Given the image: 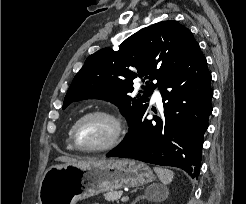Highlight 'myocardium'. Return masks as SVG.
I'll return each instance as SVG.
<instances>
[{
  "instance_id": "obj_1",
  "label": "myocardium",
  "mask_w": 246,
  "mask_h": 204,
  "mask_svg": "<svg viewBox=\"0 0 246 204\" xmlns=\"http://www.w3.org/2000/svg\"><path fill=\"white\" fill-rule=\"evenodd\" d=\"M90 117H103L111 121L114 126V131L111 138L103 145L93 148H84L77 142L76 133L79 125ZM125 127L121 118L115 113L108 110H92L81 115L72 125L70 139L73 147L85 153H102L107 152L117 147L123 139Z\"/></svg>"
}]
</instances>
